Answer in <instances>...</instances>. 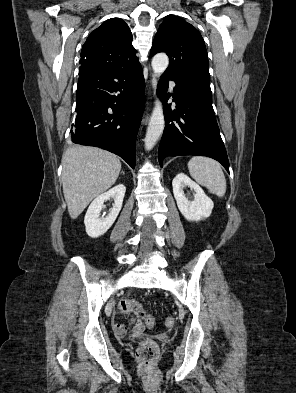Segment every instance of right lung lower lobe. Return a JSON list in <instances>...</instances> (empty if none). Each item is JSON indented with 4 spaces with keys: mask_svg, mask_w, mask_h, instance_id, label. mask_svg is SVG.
<instances>
[{
    "mask_svg": "<svg viewBox=\"0 0 296 393\" xmlns=\"http://www.w3.org/2000/svg\"><path fill=\"white\" fill-rule=\"evenodd\" d=\"M144 104L140 64L122 69L81 66L71 141L108 150L135 168V143Z\"/></svg>",
    "mask_w": 296,
    "mask_h": 393,
    "instance_id": "98d812e1",
    "label": "right lung lower lobe"
}]
</instances>
